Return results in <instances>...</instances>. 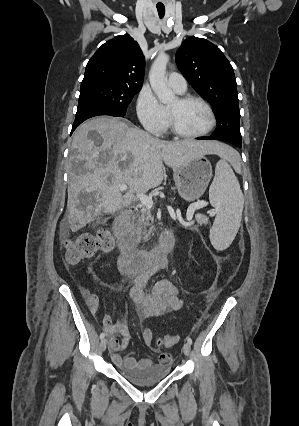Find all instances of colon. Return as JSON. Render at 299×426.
<instances>
[{
  "label": "colon",
  "instance_id": "obj_1",
  "mask_svg": "<svg viewBox=\"0 0 299 426\" xmlns=\"http://www.w3.org/2000/svg\"><path fill=\"white\" fill-rule=\"evenodd\" d=\"M113 245L111 235L107 230H99L95 233L82 234L75 240L67 239L63 242L66 260L76 264L85 258L108 251ZM175 335H165L157 339V344L164 347H172L178 343Z\"/></svg>",
  "mask_w": 299,
  "mask_h": 426
}]
</instances>
